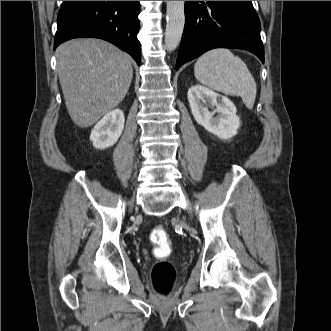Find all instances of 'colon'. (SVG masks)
Wrapping results in <instances>:
<instances>
[{
    "mask_svg": "<svg viewBox=\"0 0 331 331\" xmlns=\"http://www.w3.org/2000/svg\"><path fill=\"white\" fill-rule=\"evenodd\" d=\"M150 240L155 245L154 254L159 258L151 269V281L156 294L163 300L168 299L175 287L176 269L166 259L170 253L169 234L165 228L155 227L150 233Z\"/></svg>",
    "mask_w": 331,
    "mask_h": 331,
    "instance_id": "1",
    "label": "colon"
}]
</instances>
